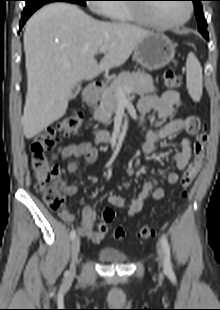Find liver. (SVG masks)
Masks as SVG:
<instances>
[{
  "instance_id": "6515ba94",
  "label": "liver",
  "mask_w": 220,
  "mask_h": 310,
  "mask_svg": "<svg viewBox=\"0 0 220 310\" xmlns=\"http://www.w3.org/2000/svg\"><path fill=\"white\" fill-rule=\"evenodd\" d=\"M150 34L128 23L98 21L68 3H51L37 11L24 33L26 138L64 116L74 85L123 65L137 43ZM101 47L107 51L98 64L95 56Z\"/></svg>"
}]
</instances>
